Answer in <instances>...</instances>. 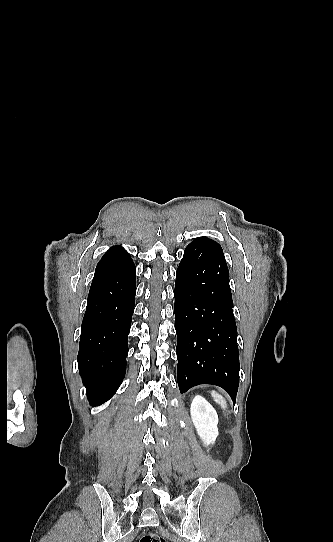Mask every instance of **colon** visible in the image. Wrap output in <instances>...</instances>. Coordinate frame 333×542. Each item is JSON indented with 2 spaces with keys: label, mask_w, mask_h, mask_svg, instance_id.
Listing matches in <instances>:
<instances>
[{
  "label": "colon",
  "mask_w": 333,
  "mask_h": 542,
  "mask_svg": "<svg viewBox=\"0 0 333 542\" xmlns=\"http://www.w3.org/2000/svg\"><path fill=\"white\" fill-rule=\"evenodd\" d=\"M139 542H165V539L156 533H145L141 535Z\"/></svg>",
  "instance_id": "1"
}]
</instances>
